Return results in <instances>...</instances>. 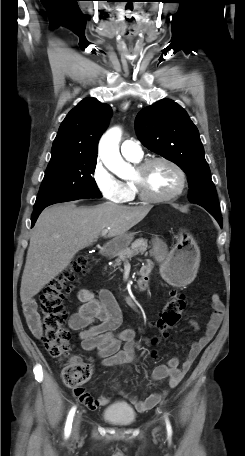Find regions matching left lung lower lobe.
<instances>
[{
    "instance_id": "1",
    "label": "left lung lower lobe",
    "mask_w": 245,
    "mask_h": 456,
    "mask_svg": "<svg viewBox=\"0 0 245 456\" xmlns=\"http://www.w3.org/2000/svg\"><path fill=\"white\" fill-rule=\"evenodd\" d=\"M213 216L219 222L220 226H222V217L221 216H215V215H213Z\"/></svg>"
}]
</instances>
